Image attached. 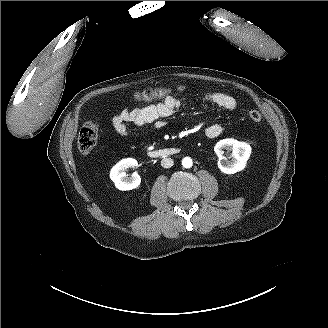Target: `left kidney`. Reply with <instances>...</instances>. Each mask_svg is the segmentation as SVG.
Masks as SVG:
<instances>
[{"label":"left kidney","mask_w":328,"mask_h":328,"mask_svg":"<svg viewBox=\"0 0 328 328\" xmlns=\"http://www.w3.org/2000/svg\"><path fill=\"white\" fill-rule=\"evenodd\" d=\"M223 149L232 150L234 159L228 161L226 157L222 156ZM214 151L219 156L217 162L219 170L226 175H231L241 172L246 168L247 161L251 156L252 148L246 142H240L233 138H227L219 141L215 145Z\"/></svg>","instance_id":"5707ae66"}]
</instances>
